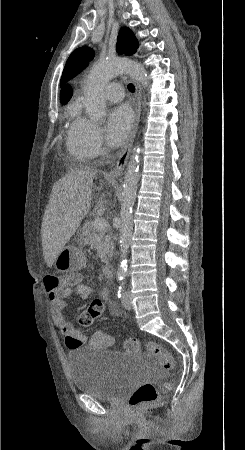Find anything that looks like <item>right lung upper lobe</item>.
Listing matches in <instances>:
<instances>
[{
	"instance_id": "obj_1",
	"label": "right lung upper lobe",
	"mask_w": 245,
	"mask_h": 450,
	"mask_svg": "<svg viewBox=\"0 0 245 450\" xmlns=\"http://www.w3.org/2000/svg\"><path fill=\"white\" fill-rule=\"evenodd\" d=\"M72 96V89L69 85H66L62 90L60 94V101L62 105H65L69 99Z\"/></svg>"
}]
</instances>
